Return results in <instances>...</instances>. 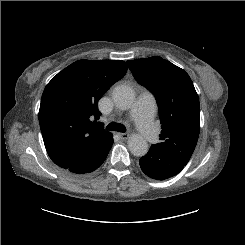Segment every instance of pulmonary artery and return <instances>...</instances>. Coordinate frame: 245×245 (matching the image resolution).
I'll use <instances>...</instances> for the list:
<instances>
[{
	"mask_svg": "<svg viewBox=\"0 0 245 245\" xmlns=\"http://www.w3.org/2000/svg\"><path fill=\"white\" fill-rule=\"evenodd\" d=\"M156 100L149 91L142 92L127 111L135 122L141 137L153 143L157 138L156 123L154 122Z\"/></svg>",
	"mask_w": 245,
	"mask_h": 245,
	"instance_id": "e3ab8cb5",
	"label": "pulmonary artery"
}]
</instances>
